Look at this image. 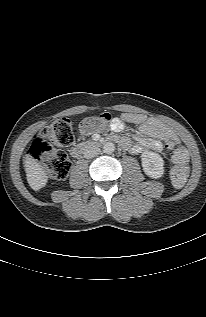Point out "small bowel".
Instances as JSON below:
<instances>
[{"mask_svg":"<svg viewBox=\"0 0 206 317\" xmlns=\"http://www.w3.org/2000/svg\"><path fill=\"white\" fill-rule=\"evenodd\" d=\"M128 123L137 125L141 134L137 137L135 145L127 137L122 138V146L132 153H141L145 150L162 151L165 144L178 141L177 136L168 127L141 113H122L112 119L110 129L114 132H120Z\"/></svg>","mask_w":206,"mask_h":317,"instance_id":"c3829d8e","label":"small bowel"}]
</instances>
